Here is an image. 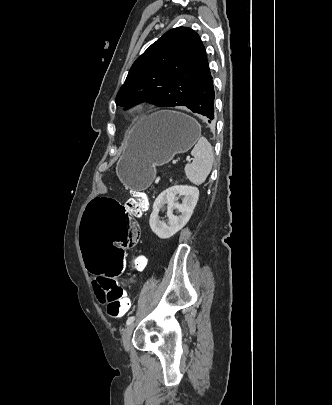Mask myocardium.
I'll return each instance as SVG.
<instances>
[{
	"instance_id": "myocardium-1",
	"label": "myocardium",
	"mask_w": 332,
	"mask_h": 405,
	"mask_svg": "<svg viewBox=\"0 0 332 405\" xmlns=\"http://www.w3.org/2000/svg\"><path fill=\"white\" fill-rule=\"evenodd\" d=\"M145 103L142 101H134L126 107V114L129 116H137L144 111Z\"/></svg>"
}]
</instances>
